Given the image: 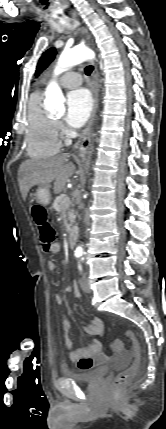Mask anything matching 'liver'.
<instances>
[{
	"label": "liver",
	"mask_w": 166,
	"mask_h": 429,
	"mask_svg": "<svg viewBox=\"0 0 166 429\" xmlns=\"http://www.w3.org/2000/svg\"><path fill=\"white\" fill-rule=\"evenodd\" d=\"M68 155L62 154L48 159H28L19 167V187L22 198L26 200L33 186H47L54 182V192H61L67 180L73 175L75 166L68 162Z\"/></svg>",
	"instance_id": "6515ba94"
}]
</instances>
